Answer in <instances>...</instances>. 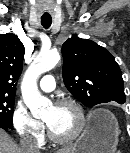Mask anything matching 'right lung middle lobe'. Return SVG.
I'll use <instances>...</instances> for the list:
<instances>
[{
    "label": "right lung middle lobe",
    "instance_id": "dd1d6c3e",
    "mask_svg": "<svg viewBox=\"0 0 130 153\" xmlns=\"http://www.w3.org/2000/svg\"><path fill=\"white\" fill-rule=\"evenodd\" d=\"M15 96L0 94V122L13 129V108Z\"/></svg>",
    "mask_w": 130,
    "mask_h": 153
}]
</instances>
